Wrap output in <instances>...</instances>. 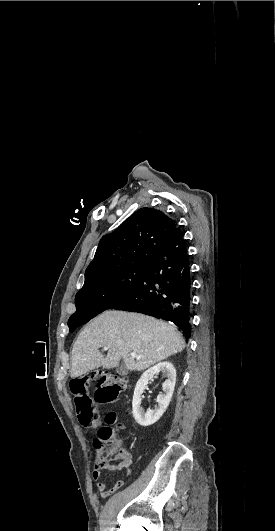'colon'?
Instances as JSON below:
<instances>
[{
    "mask_svg": "<svg viewBox=\"0 0 275 531\" xmlns=\"http://www.w3.org/2000/svg\"><path fill=\"white\" fill-rule=\"evenodd\" d=\"M92 380L96 382L94 398L92 396ZM127 386L123 376L111 374L108 370L102 369L99 372L84 373L72 376V401L77 409V423L85 424L94 428L100 422L95 403H108L115 400ZM109 417V426H102L98 435V445L103 447V457L100 466L104 469L118 468L122 463V428L116 424L117 415L109 412L105 415ZM104 421V420H103ZM123 484L118 480L115 487L119 488Z\"/></svg>",
    "mask_w": 275,
    "mask_h": 531,
    "instance_id": "colon-1",
    "label": "colon"
}]
</instances>
